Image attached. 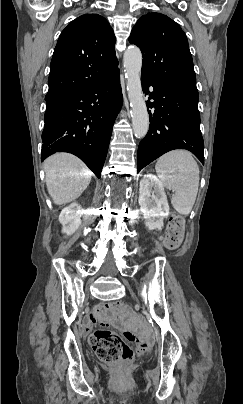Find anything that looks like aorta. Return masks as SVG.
Here are the masks:
<instances>
[{
	"label": "aorta",
	"mask_w": 243,
	"mask_h": 404,
	"mask_svg": "<svg viewBox=\"0 0 243 404\" xmlns=\"http://www.w3.org/2000/svg\"><path fill=\"white\" fill-rule=\"evenodd\" d=\"M126 90L131 106L132 128L137 138H145L149 130V116L141 88L142 54L136 46H129L124 52Z\"/></svg>",
	"instance_id": "obj_1"
}]
</instances>
